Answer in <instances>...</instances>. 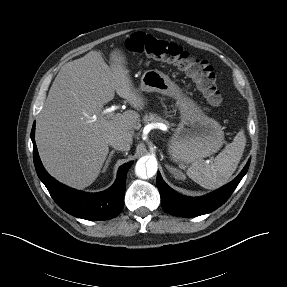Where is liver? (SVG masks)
<instances>
[{
    "label": "liver",
    "mask_w": 287,
    "mask_h": 287,
    "mask_svg": "<svg viewBox=\"0 0 287 287\" xmlns=\"http://www.w3.org/2000/svg\"><path fill=\"white\" fill-rule=\"evenodd\" d=\"M115 92L133 108H144L118 49L110 54V66L100 51H90L60 69L36 123L40 159L58 181L84 189L98 177L112 137L132 144L139 114L127 110L108 118L102 112Z\"/></svg>",
    "instance_id": "liver-1"
}]
</instances>
